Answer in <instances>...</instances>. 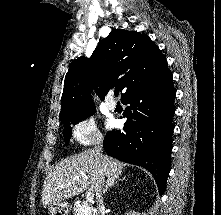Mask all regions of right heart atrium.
<instances>
[{"mask_svg": "<svg viewBox=\"0 0 221 215\" xmlns=\"http://www.w3.org/2000/svg\"><path fill=\"white\" fill-rule=\"evenodd\" d=\"M73 139L81 145H89L101 139L95 119L92 116L79 120L72 129Z\"/></svg>", "mask_w": 221, "mask_h": 215, "instance_id": "right-heart-atrium-1", "label": "right heart atrium"}]
</instances>
